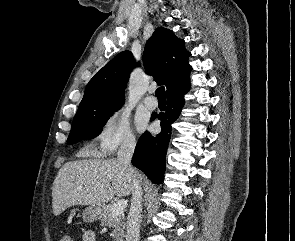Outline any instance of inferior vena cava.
Returning <instances> with one entry per match:
<instances>
[{
  "label": "inferior vena cava",
  "instance_id": "602c4592",
  "mask_svg": "<svg viewBox=\"0 0 295 241\" xmlns=\"http://www.w3.org/2000/svg\"><path fill=\"white\" fill-rule=\"evenodd\" d=\"M136 142L133 136H127L120 144L117 161L123 165L133 183L131 207L127 217L126 241H139L140 215L142 211V188L137 172L131 166V159L135 150Z\"/></svg>",
  "mask_w": 295,
  "mask_h": 241
}]
</instances>
